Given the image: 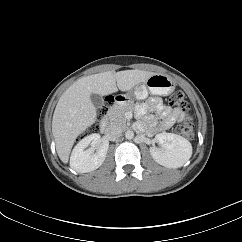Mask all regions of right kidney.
Wrapping results in <instances>:
<instances>
[{
  "instance_id": "ca27d5eb",
  "label": "right kidney",
  "mask_w": 242,
  "mask_h": 242,
  "mask_svg": "<svg viewBox=\"0 0 242 242\" xmlns=\"http://www.w3.org/2000/svg\"><path fill=\"white\" fill-rule=\"evenodd\" d=\"M89 145L96 147L97 152L93 153L91 149L85 150ZM108 146L107 142L101 143L100 135L97 133L86 136L74 147L70 157V167L80 173L97 169L105 160Z\"/></svg>"
}]
</instances>
